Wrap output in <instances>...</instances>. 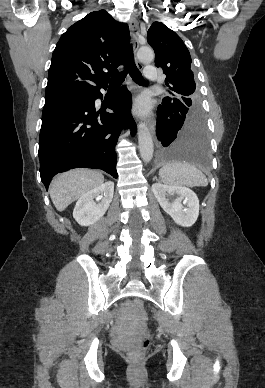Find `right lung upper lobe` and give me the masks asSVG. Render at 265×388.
I'll list each match as a JSON object with an SVG mask.
<instances>
[{"label": "right lung upper lobe", "mask_w": 265, "mask_h": 388, "mask_svg": "<svg viewBox=\"0 0 265 388\" xmlns=\"http://www.w3.org/2000/svg\"><path fill=\"white\" fill-rule=\"evenodd\" d=\"M129 30L94 11L62 34L53 52L45 100L77 97L107 87L125 60ZM108 72H105V71Z\"/></svg>", "instance_id": "1"}]
</instances>
